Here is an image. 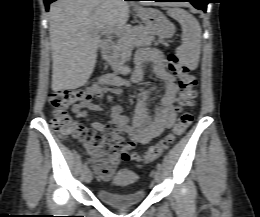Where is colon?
<instances>
[{"instance_id": "5ec220e1", "label": "colon", "mask_w": 260, "mask_h": 217, "mask_svg": "<svg viewBox=\"0 0 260 217\" xmlns=\"http://www.w3.org/2000/svg\"><path fill=\"white\" fill-rule=\"evenodd\" d=\"M169 72L179 78L181 88L180 106L182 108L193 105L196 92L195 78L189 73V68L183 64L176 55H170L167 59ZM91 95L83 90H66L54 92L50 95L51 127L61 137L67 140L80 142L90 153V163L96 173L102 178H111L115 170L116 155L124 160L138 159L142 163H148L157 159L164 153L178 137H180L193 121L191 111L184 112L173 129L156 145L150 147L141 158L129 148L124 147L117 151L114 140L104 135L100 130L83 126L76 121L69 109L81 106L89 101Z\"/></svg>"}]
</instances>
